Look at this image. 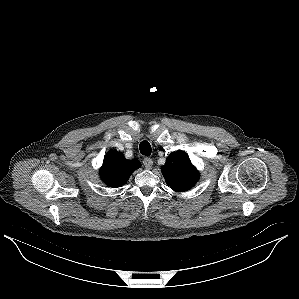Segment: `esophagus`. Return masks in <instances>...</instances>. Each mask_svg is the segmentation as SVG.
Listing matches in <instances>:
<instances>
[{
	"label": "esophagus",
	"instance_id": "esophagus-1",
	"mask_svg": "<svg viewBox=\"0 0 299 299\" xmlns=\"http://www.w3.org/2000/svg\"><path fill=\"white\" fill-rule=\"evenodd\" d=\"M143 164H144L146 169H151L152 165H153V161H152L151 158H144Z\"/></svg>",
	"mask_w": 299,
	"mask_h": 299
}]
</instances>
